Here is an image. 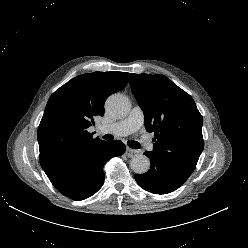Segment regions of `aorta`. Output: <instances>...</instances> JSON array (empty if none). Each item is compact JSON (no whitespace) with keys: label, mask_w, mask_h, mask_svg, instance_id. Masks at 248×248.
Returning a JSON list of instances; mask_svg holds the SVG:
<instances>
[{"label":"aorta","mask_w":248,"mask_h":248,"mask_svg":"<svg viewBox=\"0 0 248 248\" xmlns=\"http://www.w3.org/2000/svg\"><path fill=\"white\" fill-rule=\"evenodd\" d=\"M106 109L116 118L125 117L130 111V102L122 94H114L106 101ZM131 169L137 174H144L150 168V160L143 154H136L130 161Z\"/></svg>","instance_id":"1"}]
</instances>
